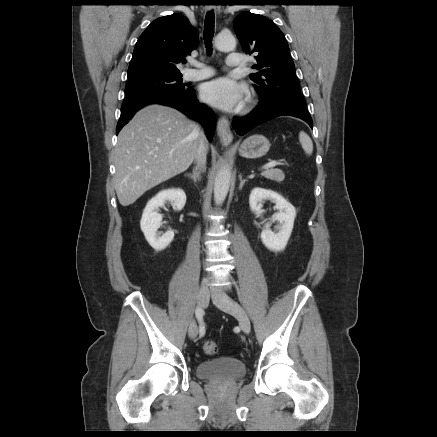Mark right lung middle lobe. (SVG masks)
<instances>
[{
  "label": "right lung middle lobe",
  "mask_w": 437,
  "mask_h": 437,
  "mask_svg": "<svg viewBox=\"0 0 437 437\" xmlns=\"http://www.w3.org/2000/svg\"><path fill=\"white\" fill-rule=\"evenodd\" d=\"M128 77L126 101L155 93L186 91L182 74H139Z\"/></svg>",
  "instance_id": "dd1d6c3e"
}]
</instances>
